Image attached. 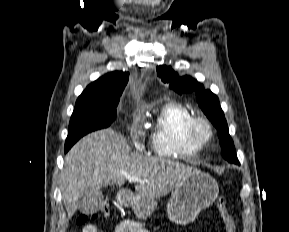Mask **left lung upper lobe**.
<instances>
[{
    "label": "left lung upper lobe",
    "mask_w": 289,
    "mask_h": 232,
    "mask_svg": "<svg viewBox=\"0 0 289 232\" xmlns=\"http://www.w3.org/2000/svg\"><path fill=\"white\" fill-rule=\"evenodd\" d=\"M157 74L164 83H169V88L180 95L192 92L196 93L197 102L200 108L217 129L223 158L228 162L239 164L218 97L210 90H204L203 85L192 77H180L170 66H158Z\"/></svg>",
    "instance_id": "1"
}]
</instances>
